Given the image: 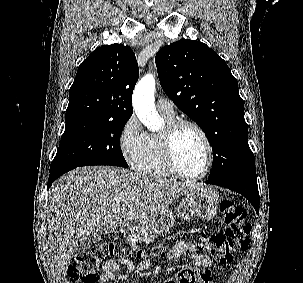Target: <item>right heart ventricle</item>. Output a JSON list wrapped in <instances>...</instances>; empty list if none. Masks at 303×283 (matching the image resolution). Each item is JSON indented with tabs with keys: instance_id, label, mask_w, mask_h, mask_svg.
I'll return each instance as SVG.
<instances>
[{
	"instance_id": "e07e8e85",
	"label": "right heart ventricle",
	"mask_w": 303,
	"mask_h": 283,
	"mask_svg": "<svg viewBox=\"0 0 303 283\" xmlns=\"http://www.w3.org/2000/svg\"><path fill=\"white\" fill-rule=\"evenodd\" d=\"M163 118L167 123L174 121L173 117L163 116ZM136 169L140 174L152 178H169L174 176L165 163L160 135H148L146 148L136 162Z\"/></svg>"
}]
</instances>
